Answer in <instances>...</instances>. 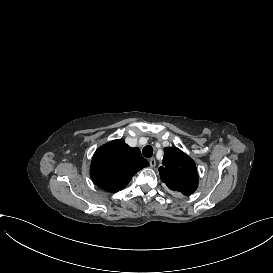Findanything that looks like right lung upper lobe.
Instances as JSON below:
<instances>
[{
  "instance_id": "obj_1",
  "label": "right lung upper lobe",
  "mask_w": 273,
  "mask_h": 273,
  "mask_svg": "<svg viewBox=\"0 0 273 273\" xmlns=\"http://www.w3.org/2000/svg\"><path fill=\"white\" fill-rule=\"evenodd\" d=\"M148 164L138 148H131L120 139L113 140L94 153L90 176L100 188L108 192H118Z\"/></svg>"
}]
</instances>
